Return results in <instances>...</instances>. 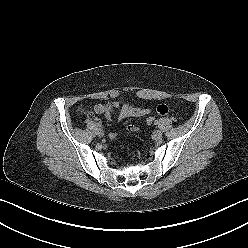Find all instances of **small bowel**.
I'll return each instance as SVG.
<instances>
[{
	"label": "small bowel",
	"mask_w": 248,
	"mask_h": 248,
	"mask_svg": "<svg viewBox=\"0 0 248 248\" xmlns=\"http://www.w3.org/2000/svg\"><path fill=\"white\" fill-rule=\"evenodd\" d=\"M119 109V119H126L131 117H141L151 113L152 109L145 107H137L130 104H124L119 101L107 102L105 104H97L94 111L98 115H104L107 119H112L115 109ZM170 111L169 106L160 104L156 107V112L161 115H167ZM127 130L131 132L139 131V128L129 124Z\"/></svg>",
	"instance_id": "1"
}]
</instances>
